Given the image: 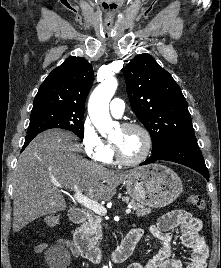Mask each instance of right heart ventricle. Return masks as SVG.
<instances>
[{
    "instance_id": "e07e8e85",
    "label": "right heart ventricle",
    "mask_w": 221,
    "mask_h": 268,
    "mask_svg": "<svg viewBox=\"0 0 221 268\" xmlns=\"http://www.w3.org/2000/svg\"><path fill=\"white\" fill-rule=\"evenodd\" d=\"M110 145V144H109ZM113 157H114V154H113V149H112V146L110 145V151L108 153V156L106 157V159L104 160V162L106 163H111L113 161Z\"/></svg>"
}]
</instances>
